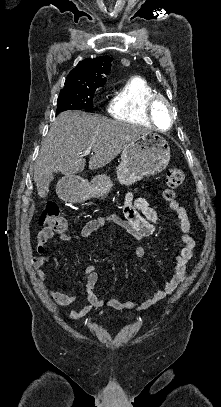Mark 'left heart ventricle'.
<instances>
[{"label": "left heart ventricle", "mask_w": 221, "mask_h": 407, "mask_svg": "<svg viewBox=\"0 0 221 407\" xmlns=\"http://www.w3.org/2000/svg\"><path fill=\"white\" fill-rule=\"evenodd\" d=\"M156 124L161 129H166L169 125L170 113L165 105H159L155 109Z\"/></svg>", "instance_id": "b2bd125f"}]
</instances>
